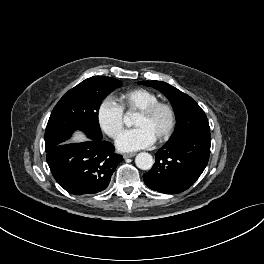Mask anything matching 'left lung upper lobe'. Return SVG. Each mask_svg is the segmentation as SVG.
Masks as SVG:
<instances>
[{
    "mask_svg": "<svg viewBox=\"0 0 264 264\" xmlns=\"http://www.w3.org/2000/svg\"><path fill=\"white\" fill-rule=\"evenodd\" d=\"M138 83L159 90L171 102L177 123L168 141H180L198 133H210L204 111L190 96L162 81H140Z\"/></svg>",
    "mask_w": 264,
    "mask_h": 264,
    "instance_id": "5c2ea615",
    "label": "left lung upper lobe"
}]
</instances>
